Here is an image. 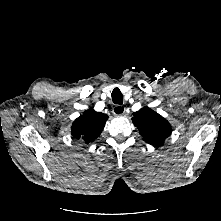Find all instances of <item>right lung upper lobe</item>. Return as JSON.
Listing matches in <instances>:
<instances>
[{
    "instance_id": "cb5924a9",
    "label": "right lung upper lobe",
    "mask_w": 221,
    "mask_h": 221,
    "mask_svg": "<svg viewBox=\"0 0 221 221\" xmlns=\"http://www.w3.org/2000/svg\"><path fill=\"white\" fill-rule=\"evenodd\" d=\"M107 119L106 114L96 112L90 108L73 122L71 134L76 139H83L88 144L99 137Z\"/></svg>"
}]
</instances>
